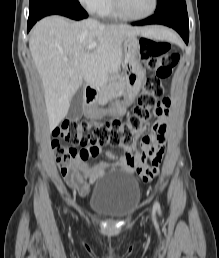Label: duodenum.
<instances>
[{"label":"duodenum","mask_w":219,"mask_h":258,"mask_svg":"<svg viewBox=\"0 0 219 258\" xmlns=\"http://www.w3.org/2000/svg\"><path fill=\"white\" fill-rule=\"evenodd\" d=\"M85 102L87 105H93L98 102V93L95 88L91 86L85 88Z\"/></svg>","instance_id":"duodenum-1"}]
</instances>
